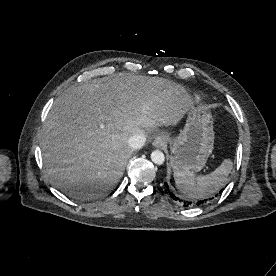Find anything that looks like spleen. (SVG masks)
I'll return each mask as SVG.
<instances>
[{
	"label": "spleen",
	"instance_id": "spleen-1",
	"mask_svg": "<svg viewBox=\"0 0 276 276\" xmlns=\"http://www.w3.org/2000/svg\"><path fill=\"white\" fill-rule=\"evenodd\" d=\"M233 167L230 159H225L219 167L207 175L196 176L193 173L174 171L173 176L177 188L188 198L207 197L225 186Z\"/></svg>",
	"mask_w": 276,
	"mask_h": 276
}]
</instances>
